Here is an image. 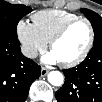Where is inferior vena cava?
Masks as SVG:
<instances>
[{
  "label": "inferior vena cava",
  "mask_w": 102,
  "mask_h": 102,
  "mask_svg": "<svg viewBox=\"0 0 102 102\" xmlns=\"http://www.w3.org/2000/svg\"><path fill=\"white\" fill-rule=\"evenodd\" d=\"M21 51L25 57L31 58V59L36 58L38 55L37 50L30 46H22Z\"/></svg>",
  "instance_id": "602c4592"
}]
</instances>
